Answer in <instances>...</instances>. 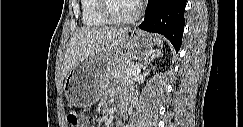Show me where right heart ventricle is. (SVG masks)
<instances>
[{
    "mask_svg": "<svg viewBox=\"0 0 243 127\" xmlns=\"http://www.w3.org/2000/svg\"><path fill=\"white\" fill-rule=\"evenodd\" d=\"M81 16L87 27H101L109 23L100 13L98 0H82Z\"/></svg>",
    "mask_w": 243,
    "mask_h": 127,
    "instance_id": "right-heart-ventricle-1",
    "label": "right heart ventricle"
}]
</instances>
